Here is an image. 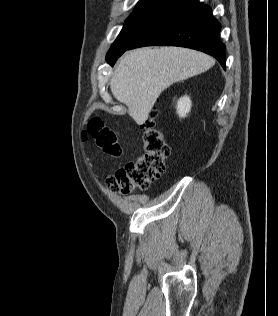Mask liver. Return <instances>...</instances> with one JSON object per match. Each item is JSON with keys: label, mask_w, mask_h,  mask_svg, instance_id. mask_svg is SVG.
<instances>
[{"label": "liver", "mask_w": 278, "mask_h": 316, "mask_svg": "<svg viewBox=\"0 0 278 316\" xmlns=\"http://www.w3.org/2000/svg\"><path fill=\"white\" fill-rule=\"evenodd\" d=\"M212 57L179 47L140 48L120 59L110 80L113 96L143 124L159 95L173 83L201 74L214 65Z\"/></svg>", "instance_id": "obj_1"}]
</instances>
